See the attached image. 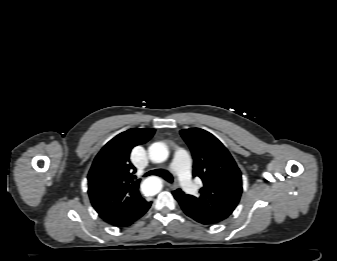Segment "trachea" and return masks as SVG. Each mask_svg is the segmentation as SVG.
Segmentation results:
<instances>
[{
	"instance_id": "1",
	"label": "trachea",
	"mask_w": 337,
	"mask_h": 261,
	"mask_svg": "<svg viewBox=\"0 0 337 261\" xmlns=\"http://www.w3.org/2000/svg\"><path fill=\"white\" fill-rule=\"evenodd\" d=\"M149 175H158L163 177L165 180L168 182H173V177L170 173L162 171V170H153L148 173H146L144 176H149Z\"/></svg>"
}]
</instances>
